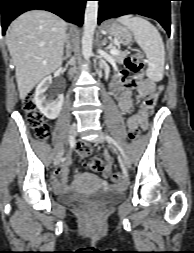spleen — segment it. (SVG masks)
I'll return each mask as SVG.
<instances>
[{"label":"spleen","instance_id":"1","mask_svg":"<svg viewBox=\"0 0 194 253\" xmlns=\"http://www.w3.org/2000/svg\"><path fill=\"white\" fill-rule=\"evenodd\" d=\"M118 22L125 25L133 33L137 44L148 58L146 75L154 82L161 81L164 73L165 49L161 35L149 21L141 17L124 15Z\"/></svg>","mask_w":194,"mask_h":253}]
</instances>
